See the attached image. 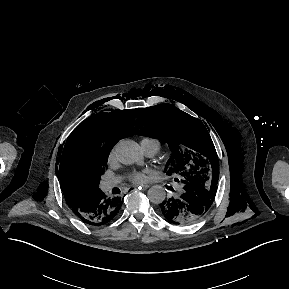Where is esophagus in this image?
<instances>
[{
	"label": "esophagus",
	"mask_w": 289,
	"mask_h": 289,
	"mask_svg": "<svg viewBox=\"0 0 289 289\" xmlns=\"http://www.w3.org/2000/svg\"><path fill=\"white\" fill-rule=\"evenodd\" d=\"M151 185L150 184H145V185H142V188L143 189H147V188H149ZM136 189V188H135Z\"/></svg>",
	"instance_id": "1"
}]
</instances>
